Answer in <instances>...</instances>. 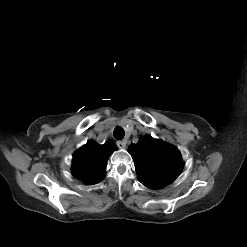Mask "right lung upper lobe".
<instances>
[{"mask_svg":"<svg viewBox=\"0 0 247 247\" xmlns=\"http://www.w3.org/2000/svg\"><path fill=\"white\" fill-rule=\"evenodd\" d=\"M114 150L116 145L113 143L99 145L94 141L87 142L73 155V174L87 184L100 182L105 175L107 160Z\"/></svg>","mask_w":247,"mask_h":247,"instance_id":"right-lung-upper-lobe-1","label":"right lung upper lobe"}]
</instances>
